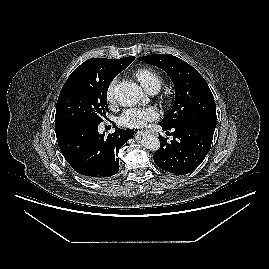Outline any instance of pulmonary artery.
<instances>
[{
  "mask_svg": "<svg viewBox=\"0 0 269 269\" xmlns=\"http://www.w3.org/2000/svg\"><path fill=\"white\" fill-rule=\"evenodd\" d=\"M158 89L154 88V89H151L150 91H148L150 94L152 95H155L156 93H158Z\"/></svg>",
  "mask_w": 269,
  "mask_h": 269,
  "instance_id": "e3ab8cb5",
  "label": "pulmonary artery"
}]
</instances>
